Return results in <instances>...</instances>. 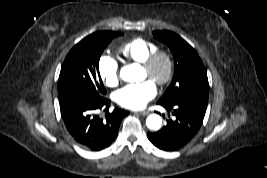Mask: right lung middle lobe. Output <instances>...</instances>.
I'll return each instance as SVG.
<instances>
[{"mask_svg":"<svg viewBox=\"0 0 267 178\" xmlns=\"http://www.w3.org/2000/svg\"><path fill=\"white\" fill-rule=\"evenodd\" d=\"M120 35V32H96L70 50L59 75V98L71 93H83L96 98L105 96L106 89L99 73V59L105 47Z\"/></svg>","mask_w":267,"mask_h":178,"instance_id":"right-lung-middle-lobe-1","label":"right lung middle lobe"}]
</instances>
